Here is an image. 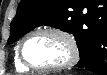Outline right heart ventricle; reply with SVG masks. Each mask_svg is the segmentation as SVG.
Masks as SVG:
<instances>
[{
	"instance_id": "1",
	"label": "right heart ventricle",
	"mask_w": 107,
	"mask_h": 75,
	"mask_svg": "<svg viewBox=\"0 0 107 75\" xmlns=\"http://www.w3.org/2000/svg\"><path fill=\"white\" fill-rule=\"evenodd\" d=\"M14 64H15V68L17 71H20V72H27L29 71V69L27 67H25L20 59H19V56H18V47L16 49V52H15V57H14Z\"/></svg>"
}]
</instances>
